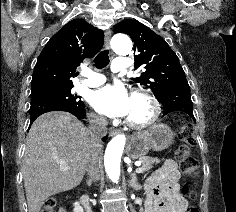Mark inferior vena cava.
I'll use <instances>...</instances> for the list:
<instances>
[{
    "mask_svg": "<svg viewBox=\"0 0 236 212\" xmlns=\"http://www.w3.org/2000/svg\"><path fill=\"white\" fill-rule=\"evenodd\" d=\"M90 133L92 136V152L86 171L89 181L95 182L100 178V141L107 134V119L103 116L92 115L90 117Z\"/></svg>",
    "mask_w": 236,
    "mask_h": 212,
    "instance_id": "602c4592",
    "label": "inferior vena cava"
}]
</instances>
